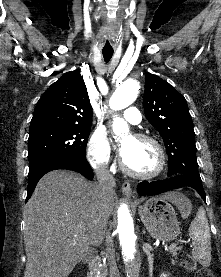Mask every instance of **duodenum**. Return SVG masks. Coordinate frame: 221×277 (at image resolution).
Returning a JSON list of instances; mask_svg holds the SVG:
<instances>
[{
    "instance_id": "410a0bca",
    "label": "duodenum",
    "mask_w": 221,
    "mask_h": 277,
    "mask_svg": "<svg viewBox=\"0 0 221 277\" xmlns=\"http://www.w3.org/2000/svg\"><path fill=\"white\" fill-rule=\"evenodd\" d=\"M100 265V257L98 255L93 256L87 265L86 277H95Z\"/></svg>"
}]
</instances>
